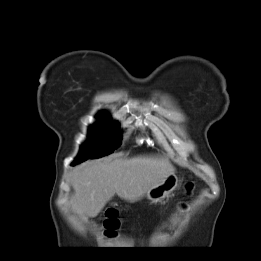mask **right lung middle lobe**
<instances>
[{
	"mask_svg": "<svg viewBox=\"0 0 261 261\" xmlns=\"http://www.w3.org/2000/svg\"><path fill=\"white\" fill-rule=\"evenodd\" d=\"M99 123L90 127L89 143L81 147L75 163L110 154L119 147L120 136L117 133L118 124L109 119L106 113H101Z\"/></svg>",
	"mask_w": 261,
	"mask_h": 261,
	"instance_id": "dd1d6c3e",
	"label": "right lung middle lobe"
}]
</instances>
